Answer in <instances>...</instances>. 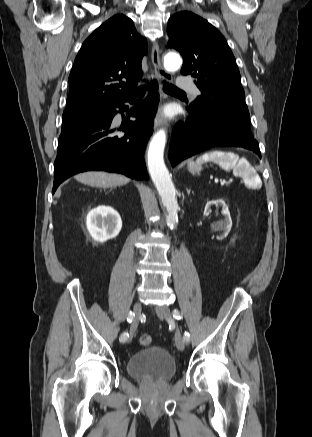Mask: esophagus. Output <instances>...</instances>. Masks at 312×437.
Here are the masks:
<instances>
[{
    "mask_svg": "<svg viewBox=\"0 0 312 437\" xmlns=\"http://www.w3.org/2000/svg\"><path fill=\"white\" fill-rule=\"evenodd\" d=\"M151 60H152L155 72L157 74V77H158V82L160 85L161 100L163 101L165 98V94L162 90L164 83L171 82L172 75L162 67L160 57H159V47L157 44H154V46L152 47ZM163 125H166V120L162 116V105H161V107L158 111V114L155 118V121H154V128L156 129V128L163 126Z\"/></svg>",
    "mask_w": 312,
    "mask_h": 437,
    "instance_id": "obj_1",
    "label": "esophagus"
}]
</instances>
